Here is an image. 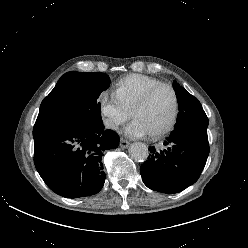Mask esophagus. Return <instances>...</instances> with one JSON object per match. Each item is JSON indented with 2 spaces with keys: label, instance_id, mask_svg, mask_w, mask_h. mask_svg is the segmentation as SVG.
I'll return each mask as SVG.
<instances>
[{
  "label": "esophagus",
  "instance_id": "obj_1",
  "mask_svg": "<svg viewBox=\"0 0 248 248\" xmlns=\"http://www.w3.org/2000/svg\"><path fill=\"white\" fill-rule=\"evenodd\" d=\"M120 146H121V148H127L129 146V141L121 138L120 139Z\"/></svg>",
  "mask_w": 248,
  "mask_h": 248
}]
</instances>
